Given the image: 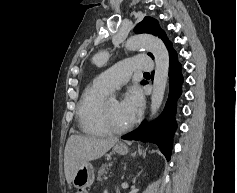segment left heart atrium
I'll return each instance as SVG.
<instances>
[{
	"label": "left heart atrium",
	"mask_w": 237,
	"mask_h": 193,
	"mask_svg": "<svg viewBox=\"0 0 237 193\" xmlns=\"http://www.w3.org/2000/svg\"><path fill=\"white\" fill-rule=\"evenodd\" d=\"M144 105L143 96L137 87L131 88L121 102V107L130 123L140 116Z\"/></svg>",
	"instance_id": "left-heart-atrium-1"
}]
</instances>
